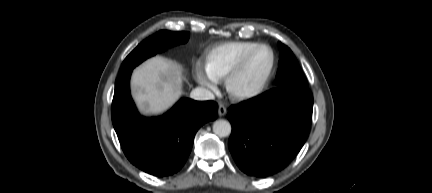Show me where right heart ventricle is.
I'll list each match as a JSON object with an SVG mask.
<instances>
[{
    "label": "right heart ventricle",
    "instance_id": "1",
    "mask_svg": "<svg viewBox=\"0 0 432 193\" xmlns=\"http://www.w3.org/2000/svg\"><path fill=\"white\" fill-rule=\"evenodd\" d=\"M258 45L255 41H237L211 48L205 58L207 72L216 81L225 79L236 64Z\"/></svg>",
    "mask_w": 432,
    "mask_h": 193
}]
</instances>
